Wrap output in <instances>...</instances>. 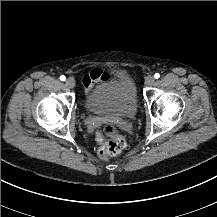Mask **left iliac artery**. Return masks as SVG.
<instances>
[{"label":"left iliac artery","instance_id":"44dca946","mask_svg":"<svg viewBox=\"0 0 217 217\" xmlns=\"http://www.w3.org/2000/svg\"><path fill=\"white\" fill-rule=\"evenodd\" d=\"M154 77H155V79H158L160 77V74L159 73H155Z\"/></svg>","mask_w":217,"mask_h":217}]
</instances>
